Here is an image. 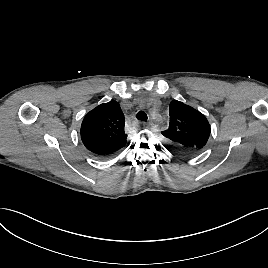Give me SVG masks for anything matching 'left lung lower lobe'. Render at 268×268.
Here are the masks:
<instances>
[{
	"mask_svg": "<svg viewBox=\"0 0 268 268\" xmlns=\"http://www.w3.org/2000/svg\"><path fill=\"white\" fill-rule=\"evenodd\" d=\"M175 149L180 155L187 156V157L194 156L199 153L198 151H193V150L185 149V148L175 147Z\"/></svg>",
	"mask_w": 268,
	"mask_h": 268,
	"instance_id": "0a47b994",
	"label": "left lung lower lobe"
}]
</instances>
